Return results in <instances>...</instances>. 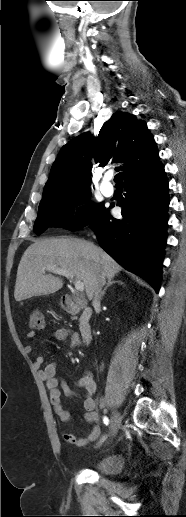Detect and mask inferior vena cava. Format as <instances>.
<instances>
[{
    "label": "inferior vena cava",
    "instance_id": "inferior-vena-cava-1",
    "mask_svg": "<svg viewBox=\"0 0 186 517\" xmlns=\"http://www.w3.org/2000/svg\"><path fill=\"white\" fill-rule=\"evenodd\" d=\"M105 284V278L104 277H100L98 278L96 284H95V288H94V300H93V303H99L100 301V297H101V289H102V286Z\"/></svg>",
    "mask_w": 186,
    "mask_h": 517
}]
</instances>
